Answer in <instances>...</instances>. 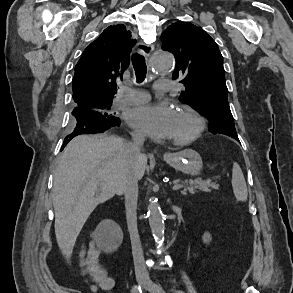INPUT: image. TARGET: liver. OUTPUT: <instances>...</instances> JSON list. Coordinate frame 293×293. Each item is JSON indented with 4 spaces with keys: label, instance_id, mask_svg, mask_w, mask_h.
I'll return each instance as SVG.
<instances>
[{
    "label": "liver",
    "instance_id": "6515ba94",
    "mask_svg": "<svg viewBox=\"0 0 293 293\" xmlns=\"http://www.w3.org/2000/svg\"><path fill=\"white\" fill-rule=\"evenodd\" d=\"M129 159L127 144L115 136L79 135L64 149L54 175L52 200L56 240L65 257L71 256L93 210L122 193L121 177ZM131 165L140 180L147 156L133 157Z\"/></svg>",
    "mask_w": 293,
    "mask_h": 293
}]
</instances>
